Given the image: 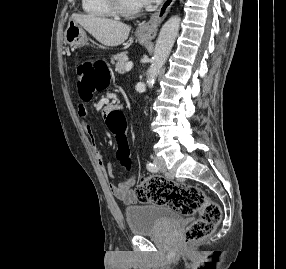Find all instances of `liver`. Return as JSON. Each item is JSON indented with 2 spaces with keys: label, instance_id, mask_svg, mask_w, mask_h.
I'll return each instance as SVG.
<instances>
[{
  "label": "liver",
  "instance_id": "6515ba94",
  "mask_svg": "<svg viewBox=\"0 0 286 269\" xmlns=\"http://www.w3.org/2000/svg\"><path fill=\"white\" fill-rule=\"evenodd\" d=\"M71 20L86 29L97 41L106 46H118L129 36L130 26L120 21L95 15L73 14Z\"/></svg>",
  "mask_w": 286,
  "mask_h": 269
}]
</instances>
